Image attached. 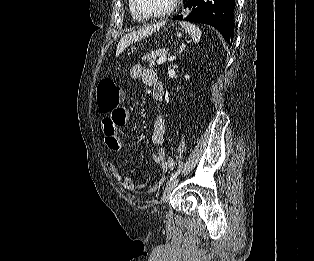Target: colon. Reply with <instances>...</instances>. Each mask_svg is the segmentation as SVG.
<instances>
[{"mask_svg":"<svg viewBox=\"0 0 314 261\" xmlns=\"http://www.w3.org/2000/svg\"><path fill=\"white\" fill-rule=\"evenodd\" d=\"M122 98V90L113 80L104 79L99 83L97 88V103L103 114H110L112 113V109H119ZM165 166L168 169H173L175 166L174 160L168 158L165 161Z\"/></svg>","mask_w":314,"mask_h":261,"instance_id":"5ec220e1","label":"colon"}]
</instances>
